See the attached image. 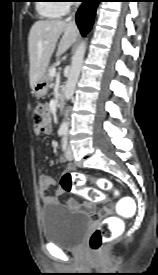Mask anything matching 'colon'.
<instances>
[{"label": "colon", "mask_w": 158, "mask_h": 275, "mask_svg": "<svg viewBox=\"0 0 158 275\" xmlns=\"http://www.w3.org/2000/svg\"><path fill=\"white\" fill-rule=\"evenodd\" d=\"M34 124L39 132H44L50 125L49 112L47 106L39 101L33 104ZM89 176L81 172H67L64 173L60 180V187L65 192H80L88 199L93 201H100L103 199V194L95 188H85ZM101 189L108 190L112 187L110 181L106 178H92ZM110 212L109 207H105L100 216H106ZM118 235V231L112 224L105 221L99 228H97L89 239V247L92 251H100L106 243L114 240Z\"/></svg>", "instance_id": "colon-1"}]
</instances>
